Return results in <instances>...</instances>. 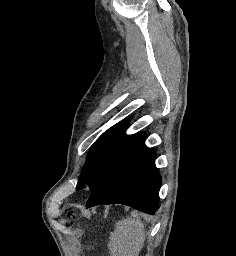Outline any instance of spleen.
Masks as SVG:
<instances>
[{
  "mask_svg": "<svg viewBox=\"0 0 236 256\" xmlns=\"http://www.w3.org/2000/svg\"><path fill=\"white\" fill-rule=\"evenodd\" d=\"M144 224L138 218L119 220L107 244L110 256H139L144 246Z\"/></svg>",
  "mask_w": 236,
  "mask_h": 256,
  "instance_id": "obj_1",
  "label": "spleen"
}]
</instances>
